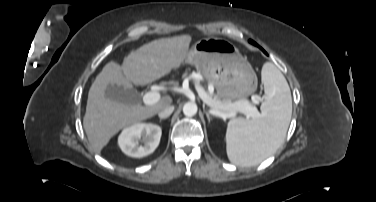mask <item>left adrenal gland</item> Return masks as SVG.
<instances>
[{"label":"left adrenal gland","instance_id":"left-adrenal-gland-1","mask_svg":"<svg viewBox=\"0 0 376 202\" xmlns=\"http://www.w3.org/2000/svg\"><path fill=\"white\" fill-rule=\"evenodd\" d=\"M204 112H205V114L207 116L208 122L210 123V121H211L210 114L205 110V108H204Z\"/></svg>","mask_w":376,"mask_h":202}]
</instances>
